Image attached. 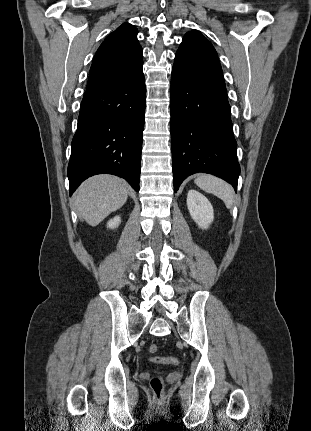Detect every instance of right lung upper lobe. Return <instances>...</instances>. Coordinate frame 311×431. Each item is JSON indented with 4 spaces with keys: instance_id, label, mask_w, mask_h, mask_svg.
<instances>
[{
    "instance_id": "obj_1",
    "label": "right lung upper lobe",
    "mask_w": 311,
    "mask_h": 431,
    "mask_svg": "<svg viewBox=\"0 0 311 431\" xmlns=\"http://www.w3.org/2000/svg\"><path fill=\"white\" fill-rule=\"evenodd\" d=\"M137 33L135 26L123 23L106 37L94 56L87 88L127 78L143 65Z\"/></svg>"
}]
</instances>
